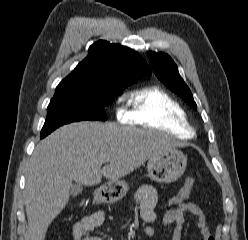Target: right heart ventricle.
Masks as SVG:
<instances>
[{
  "mask_svg": "<svg viewBox=\"0 0 248 240\" xmlns=\"http://www.w3.org/2000/svg\"><path fill=\"white\" fill-rule=\"evenodd\" d=\"M128 104L125 121L129 124L159 130L181 140L194 135L182 104L162 88L148 86L135 89L128 97Z\"/></svg>",
  "mask_w": 248,
  "mask_h": 240,
  "instance_id": "1",
  "label": "right heart ventricle"
}]
</instances>
